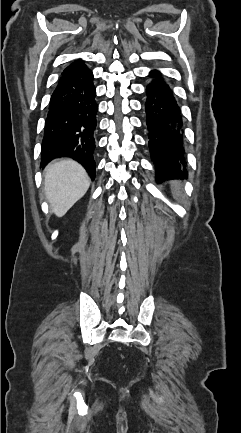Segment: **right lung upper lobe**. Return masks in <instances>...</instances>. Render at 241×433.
Returning a JSON list of instances; mask_svg holds the SVG:
<instances>
[{"mask_svg":"<svg viewBox=\"0 0 241 433\" xmlns=\"http://www.w3.org/2000/svg\"><path fill=\"white\" fill-rule=\"evenodd\" d=\"M79 64L78 61H75L74 63H72L71 65H69L62 73H65L66 71H68L70 68H72L73 66Z\"/></svg>","mask_w":241,"mask_h":433,"instance_id":"obj_1","label":"right lung upper lobe"}]
</instances>
